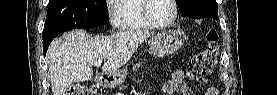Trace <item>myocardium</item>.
Segmentation results:
<instances>
[{
  "label": "myocardium",
  "instance_id": "f54148a6",
  "mask_svg": "<svg viewBox=\"0 0 277 95\" xmlns=\"http://www.w3.org/2000/svg\"><path fill=\"white\" fill-rule=\"evenodd\" d=\"M151 1L152 0H145L144 6H143L144 18L150 24V26H152L154 28H168V27L172 26L178 16V7H177L176 0H169L171 2V4L173 5L174 12H173L171 19L165 23H158L154 19H152V17L150 16L148 9H149V5H150Z\"/></svg>",
  "mask_w": 277,
  "mask_h": 95
}]
</instances>
